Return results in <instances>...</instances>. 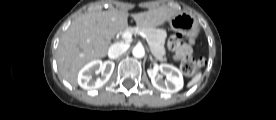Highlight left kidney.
I'll return each instance as SVG.
<instances>
[{
  "label": "left kidney",
  "mask_w": 276,
  "mask_h": 120,
  "mask_svg": "<svg viewBox=\"0 0 276 120\" xmlns=\"http://www.w3.org/2000/svg\"><path fill=\"white\" fill-rule=\"evenodd\" d=\"M160 71L166 75V80H162L159 73L155 70H148V75L152 85L161 92L175 93L183 87L182 73L173 65L161 64Z\"/></svg>",
  "instance_id": "left-kidney-1"
}]
</instances>
